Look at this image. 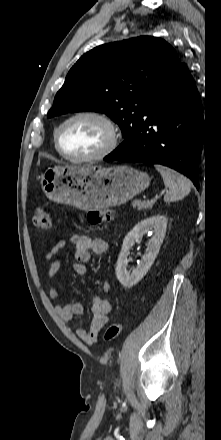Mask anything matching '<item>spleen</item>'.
<instances>
[{
    "label": "spleen",
    "mask_w": 221,
    "mask_h": 440,
    "mask_svg": "<svg viewBox=\"0 0 221 440\" xmlns=\"http://www.w3.org/2000/svg\"><path fill=\"white\" fill-rule=\"evenodd\" d=\"M155 168L161 174L164 185L169 189L164 196L165 202L181 200L190 193L191 182L186 177L162 165H155Z\"/></svg>",
    "instance_id": "3e777b00"
}]
</instances>
